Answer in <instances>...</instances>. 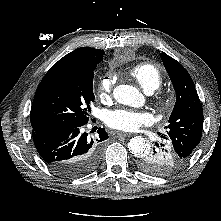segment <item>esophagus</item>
Returning <instances> with one entry per match:
<instances>
[{
	"instance_id": "1",
	"label": "esophagus",
	"mask_w": 221,
	"mask_h": 221,
	"mask_svg": "<svg viewBox=\"0 0 221 221\" xmlns=\"http://www.w3.org/2000/svg\"><path fill=\"white\" fill-rule=\"evenodd\" d=\"M114 135L116 137H128V136H131L130 133H124V132H115Z\"/></svg>"
}]
</instances>
